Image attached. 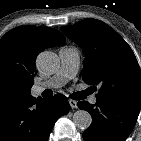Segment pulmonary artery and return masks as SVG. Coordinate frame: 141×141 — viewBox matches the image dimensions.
<instances>
[{
    "label": "pulmonary artery",
    "mask_w": 141,
    "mask_h": 141,
    "mask_svg": "<svg viewBox=\"0 0 141 141\" xmlns=\"http://www.w3.org/2000/svg\"><path fill=\"white\" fill-rule=\"evenodd\" d=\"M61 67L59 71L45 82L36 84L33 87V93L38 95L46 89L59 88L65 85L69 80L75 77L80 63V54L76 48L66 47L59 50ZM97 96L90 98L91 103H96Z\"/></svg>",
    "instance_id": "e3ab8cb5"
}]
</instances>
